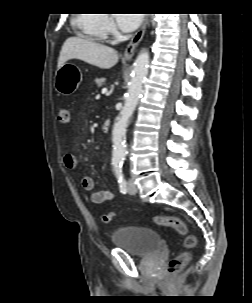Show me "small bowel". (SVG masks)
Here are the masks:
<instances>
[{
	"instance_id": "obj_1",
	"label": "small bowel",
	"mask_w": 252,
	"mask_h": 303,
	"mask_svg": "<svg viewBox=\"0 0 252 303\" xmlns=\"http://www.w3.org/2000/svg\"><path fill=\"white\" fill-rule=\"evenodd\" d=\"M63 163L68 170L77 168V158L73 153H66L63 157ZM81 185L89 193V200L94 204H101L114 198L110 191H94V181L90 176H84L81 179Z\"/></svg>"
}]
</instances>
